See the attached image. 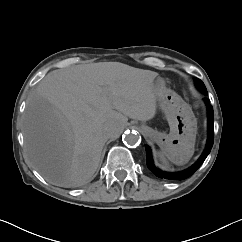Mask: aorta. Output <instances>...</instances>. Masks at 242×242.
<instances>
[{"label": "aorta", "mask_w": 242, "mask_h": 242, "mask_svg": "<svg viewBox=\"0 0 242 242\" xmlns=\"http://www.w3.org/2000/svg\"><path fill=\"white\" fill-rule=\"evenodd\" d=\"M122 140L125 145L128 146H137L141 142V137L136 132H125V134L122 137Z\"/></svg>", "instance_id": "obj_1"}]
</instances>
